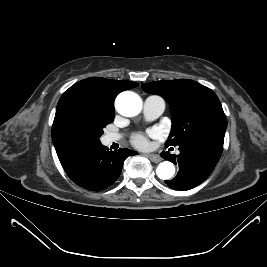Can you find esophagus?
<instances>
[{
  "label": "esophagus",
  "instance_id": "1",
  "mask_svg": "<svg viewBox=\"0 0 267 267\" xmlns=\"http://www.w3.org/2000/svg\"><path fill=\"white\" fill-rule=\"evenodd\" d=\"M146 156L154 163H158L162 160L161 157L156 154H147Z\"/></svg>",
  "mask_w": 267,
  "mask_h": 267
}]
</instances>
